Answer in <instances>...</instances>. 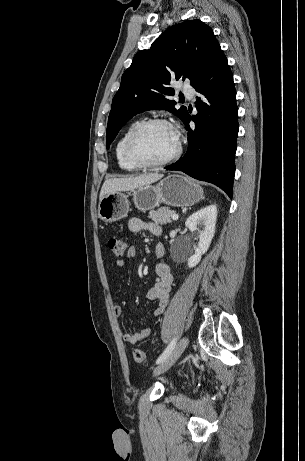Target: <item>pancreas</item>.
I'll use <instances>...</instances> for the list:
<instances>
[{
    "instance_id": "obj_1",
    "label": "pancreas",
    "mask_w": 305,
    "mask_h": 461,
    "mask_svg": "<svg viewBox=\"0 0 305 461\" xmlns=\"http://www.w3.org/2000/svg\"><path fill=\"white\" fill-rule=\"evenodd\" d=\"M175 212L167 207H161L158 210H151L149 212V218H151L156 224L166 225L171 223V215Z\"/></svg>"
}]
</instances>
